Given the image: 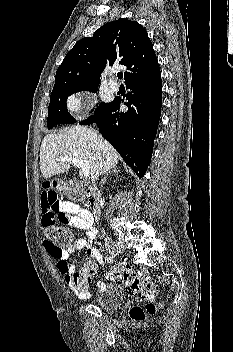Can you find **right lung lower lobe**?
I'll return each mask as SVG.
<instances>
[{"label": "right lung lower lobe", "mask_w": 233, "mask_h": 352, "mask_svg": "<svg viewBox=\"0 0 233 352\" xmlns=\"http://www.w3.org/2000/svg\"><path fill=\"white\" fill-rule=\"evenodd\" d=\"M130 90L124 103L127 112H120L123 100L116 97L111 103L94 112L79 124L96 123L102 136L118 151L123 160L141 178L150 163L154 139L161 115L162 82L160 69L126 83Z\"/></svg>", "instance_id": "98d812e1"}]
</instances>
